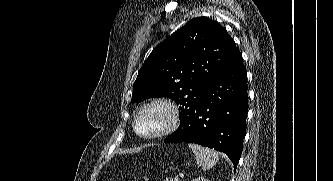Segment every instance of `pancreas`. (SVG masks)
Masks as SVG:
<instances>
[{
  "label": "pancreas",
  "mask_w": 333,
  "mask_h": 181,
  "mask_svg": "<svg viewBox=\"0 0 333 181\" xmlns=\"http://www.w3.org/2000/svg\"><path fill=\"white\" fill-rule=\"evenodd\" d=\"M164 181H174L173 178H166Z\"/></svg>",
  "instance_id": "1"
}]
</instances>
